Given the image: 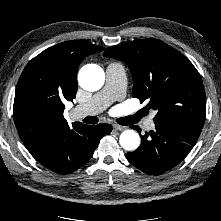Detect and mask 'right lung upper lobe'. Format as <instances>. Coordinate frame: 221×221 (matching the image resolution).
I'll use <instances>...</instances> for the list:
<instances>
[{"instance_id":"obj_1","label":"right lung upper lobe","mask_w":221,"mask_h":221,"mask_svg":"<svg viewBox=\"0 0 221 221\" xmlns=\"http://www.w3.org/2000/svg\"><path fill=\"white\" fill-rule=\"evenodd\" d=\"M101 46L79 40L52 46L29 61L18 81L13 117L18 134L36 159H46L63 146L67 137L85 125L72 128L63 117L65 101L77 92V70Z\"/></svg>"}]
</instances>
